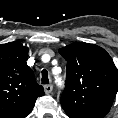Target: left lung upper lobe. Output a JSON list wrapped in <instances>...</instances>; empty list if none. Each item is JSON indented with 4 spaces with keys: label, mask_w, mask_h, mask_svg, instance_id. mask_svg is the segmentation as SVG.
I'll return each mask as SVG.
<instances>
[{
    "label": "left lung upper lobe",
    "mask_w": 118,
    "mask_h": 118,
    "mask_svg": "<svg viewBox=\"0 0 118 118\" xmlns=\"http://www.w3.org/2000/svg\"><path fill=\"white\" fill-rule=\"evenodd\" d=\"M67 61L62 108L70 118H103L118 90V70L110 55L89 43L59 49Z\"/></svg>",
    "instance_id": "left-lung-upper-lobe-1"
}]
</instances>
